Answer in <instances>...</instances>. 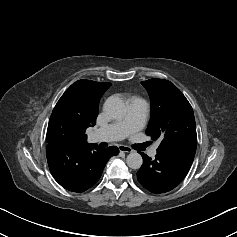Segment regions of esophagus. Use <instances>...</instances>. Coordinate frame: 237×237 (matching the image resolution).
<instances>
[{
    "instance_id": "esophagus-1",
    "label": "esophagus",
    "mask_w": 237,
    "mask_h": 237,
    "mask_svg": "<svg viewBox=\"0 0 237 237\" xmlns=\"http://www.w3.org/2000/svg\"><path fill=\"white\" fill-rule=\"evenodd\" d=\"M118 148L120 152H124V153H131L133 151L130 147L125 146V145H119Z\"/></svg>"
}]
</instances>
